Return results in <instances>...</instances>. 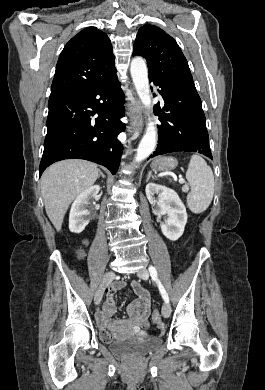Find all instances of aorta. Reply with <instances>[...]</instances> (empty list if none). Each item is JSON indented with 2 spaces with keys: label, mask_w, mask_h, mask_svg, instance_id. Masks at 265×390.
I'll return each mask as SVG.
<instances>
[{
  "label": "aorta",
  "mask_w": 265,
  "mask_h": 390,
  "mask_svg": "<svg viewBox=\"0 0 265 390\" xmlns=\"http://www.w3.org/2000/svg\"><path fill=\"white\" fill-rule=\"evenodd\" d=\"M130 72L141 102L147 109H151L148 70L145 60L142 57L133 58L130 65ZM156 134L155 123L149 118L146 132L137 148L135 162L143 161L154 151L156 146Z\"/></svg>",
  "instance_id": "aorta-1"
}]
</instances>
